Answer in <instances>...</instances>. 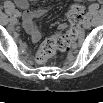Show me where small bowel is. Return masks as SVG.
<instances>
[{
	"mask_svg": "<svg viewBox=\"0 0 103 103\" xmlns=\"http://www.w3.org/2000/svg\"><path fill=\"white\" fill-rule=\"evenodd\" d=\"M17 6L20 7L23 12H22V21L24 25V30L27 33V35L30 37V39L33 42H38L41 39V33L36 26L34 19L42 17L46 13L50 11L51 8H40V9H31L30 5L27 1L24 0H19L16 2ZM5 5H9L6 3ZM93 7H97L95 4ZM60 29L66 28V24L62 23L59 25Z\"/></svg>",
	"mask_w": 103,
	"mask_h": 103,
	"instance_id": "obj_1",
	"label": "small bowel"
}]
</instances>
